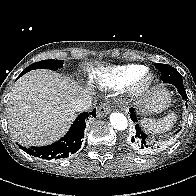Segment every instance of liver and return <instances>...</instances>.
I'll use <instances>...</instances> for the list:
<instances>
[{"label":"liver","mask_w":196,"mask_h":196,"mask_svg":"<svg viewBox=\"0 0 196 196\" xmlns=\"http://www.w3.org/2000/svg\"><path fill=\"white\" fill-rule=\"evenodd\" d=\"M89 95L69 77L50 70H33L12 87L7 104L9 129L24 146H44L68 130L76 114L72 102Z\"/></svg>","instance_id":"liver-1"}]
</instances>
